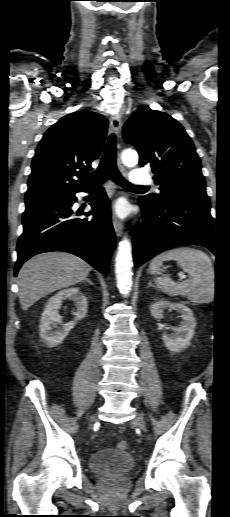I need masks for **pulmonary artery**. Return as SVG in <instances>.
<instances>
[{
    "mask_svg": "<svg viewBox=\"0 0 230 517\" xmlns=\"http://www.w3.org/2000/svg\"><path fill=\"white\" fill-rule=\"evenodd\" d=\"M130 183L133 185H147L152 183V177L143 169H133L130 174Z\"/></svg>",
    "mask_w": 230,
    "mask_h": 517,
    "instance_id": "e3ab8cb5",
    "label": "pulmonary artery"
}]
</instances>
